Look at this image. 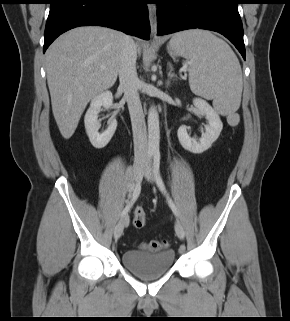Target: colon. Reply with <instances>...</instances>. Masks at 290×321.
Returning a JSON list of instances; mask_svg holds the SVG:
<instances>
[{"instance_id": "1", "label": "colon", "mask_w": 290, "mask_h": 321, "mask_svg": "<svg viewBox=\"0 0 290 321\" xmlns=\"http://www.w3.org/2000/svg\"><path fill=\"white\" fill-rule=\"evenodd\" d=\"M132 221L135 228L141 229L142 227H144L146 222L145 211L142 208H136L133 212ZM167 247H168L167 241H158V240L150 241L144 245L145 249L152 252L161 251Z\"/></svg>"}]
</instances>
